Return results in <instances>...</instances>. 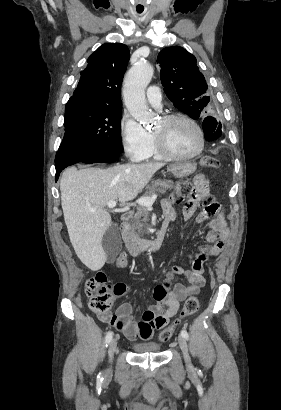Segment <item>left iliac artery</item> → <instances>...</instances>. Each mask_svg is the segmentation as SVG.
<instances>
[{"mask_svg": "<svg viewBox=\"0 0 281 410\" xmlns=\"http://www.w3.org/2000/svg\"><path fill=\"white\" fill-rule=\"evenodd\" d=\"M181 335H182L185 339H188V338H189V335H188V333H187L186 330H182V331H181Z\"/></svg>", "mask_w": 281, "mask_h": 410, "instance_id": "left-iliac-artery-1", "label": "left iliac artery"}]
</instances>
